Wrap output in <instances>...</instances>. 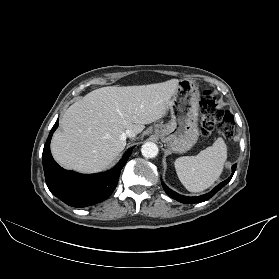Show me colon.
I'll return each instance as SVG.
<instances>
[{"label":"colon","instance_id":"obj_1","mask_svg":"<svg viewBox=\"0 0 279 279\" xmlns=\"http://www.w3.org/2000/svg\"><path fill=\"white\" fill-rule=\"evenodd\" d=\"M200 110V129L204 135L216 132L225 138L232 137L234 130L233 116L219 107L211 92H204Z\"/></svg>","mask_w":279,"mask_h":279}]
</instances>
